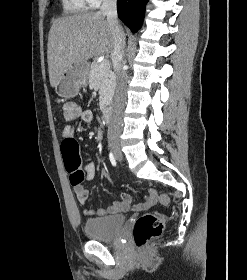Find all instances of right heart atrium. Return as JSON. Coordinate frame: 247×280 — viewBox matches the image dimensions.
I'll return each instance as SVG.
<instances>
[{"instance_id":"1","label":"right heart atrium","mask_w":247,"mask_h":280,"mask_svg":"<svg viewBox=\"0 0 247 280\" xmlns=\"http://www.w3.org/2000/svg\"><path fill=\"white\" fill-rule=\"evenodd\" d=\"M104 0H87L90 6H98Z\"/></svg>"}]
</instances>
